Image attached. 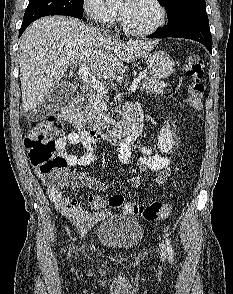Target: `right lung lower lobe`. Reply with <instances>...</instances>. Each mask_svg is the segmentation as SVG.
Here are the masks:
<instances>
[{
    "label": "right lung lower lobe",
    "instance_id": "98d812e1",
    "mask_svg": "<svg viewBox=\"0 0 233 294\" xmlns=\"http://www.w3.org/2000/svg\"><path fill=\"white\" fill-rule=\"evenodd\" d=\"M28 25H29V24H22L21 29H20V32H19V36L24 32V30L26 29V27H27Z\"/></svg>",
    "mask_w": 233,
    "mask_h": 294
}]
</instances>
